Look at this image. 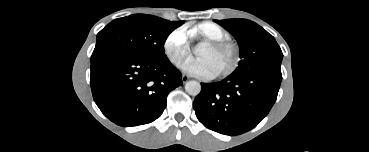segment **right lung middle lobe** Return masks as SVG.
<instances>
[{
    "mask_svg": "<svg viewBox=\"0 0 369 152\" xmlns=\"http://www.w3.org/2000/svg\"><path fill=\"white\" fill-rule=\"evenodd\" d=\"M184 21L134 14L115 19L97 34L91 62L109 55H131L144 59L166 58L164 43Z\"/></svg>",
    "mask_w": 369,
    "mask_h": 152,
    "instance_id": "right-lung-middle-lobe-1",
    "label": "right lung middle lobe"
}]
</instances>
